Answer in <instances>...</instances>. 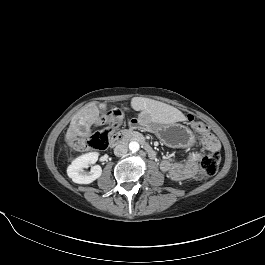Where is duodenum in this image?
<instances>
[{
    "label": "duodenum",
    "instance_id": "obj_1",
    "mask_svg": "<svg viewBox=\"0 0 265 265\" xmlns=\"http://www.w3.org/2000/svg\"><path fill=\"white\" fill-rule=\"evenodd\" d=\"M126 139H134V140L141 142L144 145V149L146 153L148 154V156L151 159H156L157 157L156 151L149 144L145 142L143 136L139 133H135L129 130L120 131L112 136L110 140V145L111 147H115L121 144Z\"/></svg>",
    "mask_w": 265,
    "mask_h": 265
}]
</instances>
